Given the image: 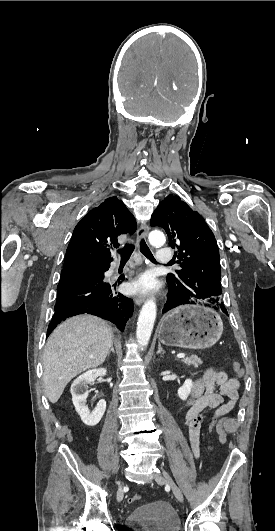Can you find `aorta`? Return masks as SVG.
<instances>
[{
  "instance_id": "762f6f07",
  "label": "aorta",
  "mask_w": 275,
  "mask_h": 531,
  "mask_svg": "<svg viewBox=\"0 0 275 531\" xmlns=\"http://www.w3.org/2000/svg\"><path fill=\"white\" fill-rule=\"evenodd\" d=\"M149 241L151 245H160V243H163L164 241V235L163 233H160V231H152L149 235ZM156 313L157 307L155 301H153V299H148L140 311L137 323L136 339L141 349L147 347L150 341Z\"/></svg>"
}]
</instances>
